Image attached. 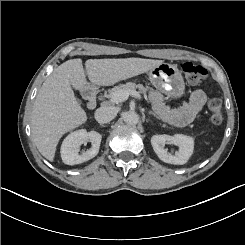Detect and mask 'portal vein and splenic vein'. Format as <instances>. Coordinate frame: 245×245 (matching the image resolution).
Returning <instances> with one entry per match:
<instances>
[{
	"label": "portal vein and splenic vein",
	"mask_w": 245,
	"mask_h": 245,
	"mask_svg": "<svg viewBox=\"0 0 245 245\" xmlns=\"http://www.w3.org/2000/svg\"><path fill=\"white\" fill-rule=\"evenodd\" d=\"M129 95L132 97L141 99V95L136 91V90H131V91H118L113 94L111 97V102L112 103H119V102H124L128 99Z\"/></svg>",
	"instance_id": "portal-vein-and-splenic-vein-1"
}]
</instances>
